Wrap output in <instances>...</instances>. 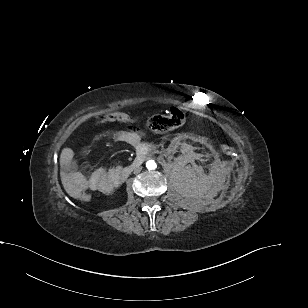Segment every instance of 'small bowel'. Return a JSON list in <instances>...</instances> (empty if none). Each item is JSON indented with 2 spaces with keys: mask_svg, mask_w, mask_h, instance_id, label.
I'll return each mask as SVG.
<instances>
[{
  "mask_svg": "<svg viewBox=\"0 0 308 308\" xmlns=\"http://www.w3.org/2000/svg\"><path fill=\"white\" fill-rule=\"evenodd\" d=\"M115 140L139 147L142 144L141 135L136 130L121 131L114 135ZM61 165L72 180L75 195L83 191H100L110 193L119 184L120 168H98L90 174H84L77 169L73 153L66 149L61 154Z\"/></svg>",
  "mask_w": 308,
  "mask_h": 308,
  "instance_id": "obj_1",
  "label": "small bowel"
}]
</instances>
